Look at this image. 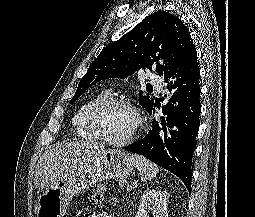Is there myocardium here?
I'll return each mask as SVG.
<instances>
[{"mask_svg":"<svg viewBox=\"0 0 255 217\" xmlns=\"http://www.w3.org/2000/svg\"><path fill=\"white\" fill-rule=\"evenodd\" d=\"M127 107L133 111L136 117V124L133 130L130 132L128 136L122 139H113L107 136L103 129L102 118L106 111L114 107ZM89 121L92 130L97 135V137L106 144L113 146H124L131 143L136 136L138 135L141 127H142V118L137 110V108L128 100L122 98H108L101 103H99L96 107L93 108L89 115Z\"/></svg>","mask_w":255,"mask_h":217,"instance_id":"f54148a6","label":"myocardium"}]
</instances>
